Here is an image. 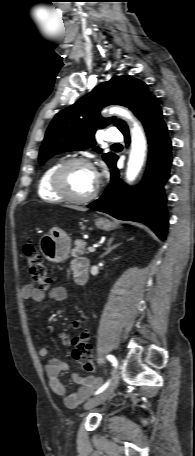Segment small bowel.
Returning a JSON list of instances; mask_svg holds the SVG:
<instances>
[{
    "instance_id": "obj_1",
    "label": "small bowel",
    "mask_w": 195,
    "mask_h": 456,
    "mask_svg": "<svg viewBox=\"0 0 195 456\" xmlns=\"http://www.w3.org/2000/svg\"><path fill=\"white\" fill-rule=\"evenodd\" d=\"M80 260L82 259L78 258L72 262L71 269L73 272ZM22 295L25 299L32 300L35 303H42L44 301L64 302L68 298V291L63 286H56L49 292H44L40 289L26 285L22 288ZM38 353L42 358L47 357L49 354L46 347H41ZM68 369V364L58 358H50L45 365V373L49 380L50 389L55 394L64 398L66 406L74 408L100 386L101 380L93 376L83 377L75 373L73 374V379L76 383L80 384V387L75 393L67 395L66 388L59 378V375L62 372L68 371Z\"/></svg>"
}]
</instances>
